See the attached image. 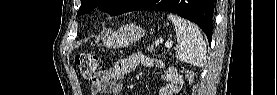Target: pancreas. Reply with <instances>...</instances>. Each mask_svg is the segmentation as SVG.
Segmentation results:
<instances>
[{
	"instance_id": "cf45deb5",
	"label": "pancreas",
	"mask_w": 277,
	"mask_h": 95,
	"mask_svg": "<svg viewBox=\"0 0 277 95\" xmlns=\"http://www.w3.org/2000/svg\"><path fill=\"white\" fill-rule=\"evenodd\" d=\"M147 50H148L149 52H151V51H152V48H151V47H148Z\"/></svg>"
}]
</instances>
